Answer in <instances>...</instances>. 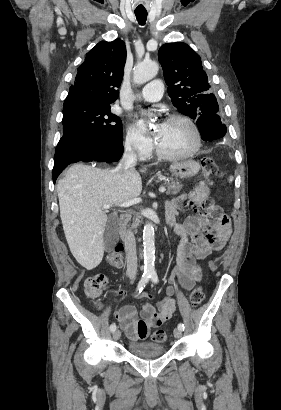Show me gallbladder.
Returning a JSON list of instances; mask_svg holds the SVG:
<instances>
[{
  "mask_svg": "<svg viewBox=\"0 0 281 410\" xmlns=\"http://www.w3.org/2000/svg\"><path fill=\"white\" fill-rule=\"evenodd\" d=\"M104 248L106 251H111L118 241V225L117 218L115 216H109L104 234Z\"/></svg>",
  "mask_w": 281,
  "mask_h": 410,
  "instance_id": "gallbladder-1",
  "label": "gallbladder"
}]
</instances>
